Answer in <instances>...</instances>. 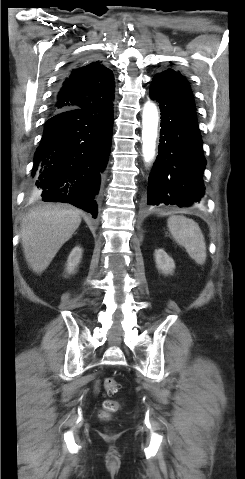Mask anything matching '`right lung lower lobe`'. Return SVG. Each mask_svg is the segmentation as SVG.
I'll return each mask as SVG.
<instances>
[{
  "mask_svg": "<svg viewBox=\"0 0 245 479\" xmlns=\"http://www.w3.org/2000/svg\"><path fill=\"white\" fill-rule=\"evenodd\" d=\"M112 124L113 104L52 113L35 153L31 197L70 203L95 218Z\"/></svg>",
  "mask_w": 245,
  "mask_h": 479,
  "instance_id": "right-lung-lower-lobe-1",
  "label": "right lung lower lobe"
}]
</instances>
